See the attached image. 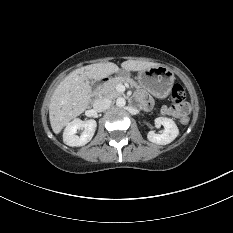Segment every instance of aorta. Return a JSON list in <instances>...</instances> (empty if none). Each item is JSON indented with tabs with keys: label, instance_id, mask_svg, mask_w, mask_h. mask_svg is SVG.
<instances>
[{
	"label": "aorta",
	"instance_id": "obj_1",
	"mask_svg": "<svg viewBox=\"0 0 233 233\" xmlns=\"http://www.w3.org/2000/svg\"><path fill=\"white\" fill-rule=\"evenodd\" d=\"M126 104V100L123 98V97H119L117 100H116V105L118 107H124Z\"/></svg>",
	"mask_w": 233,
	"mask_h": 233
}]
</instances>
